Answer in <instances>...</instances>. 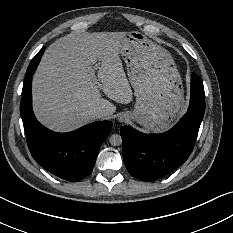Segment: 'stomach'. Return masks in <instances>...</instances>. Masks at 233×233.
<instances>
[{
    "label": "stomach",
    "mask_w": 233,
    "mask_h": 233,
    "mask_svg": "<svg viewBox=\"0 0 233 233\" xmlns=\"http://www.w3.org/2000/svg\"><path fill=\"white\" fill-rule=\"evenodd\" d=\"M117 47L136 97L129 119L147 132L167 129L185 110L182 80L172 56L139 31L126 33Z\"/></svg>",
    "instance_id": "obj_1"
}]
</instances>
